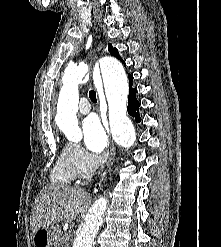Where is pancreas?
I'll return each mask as SVG.
<instances>
[{
  "instance_id": "cf45deb5",
  "label": "pancreas",
  "mask_w": 221,
  "mask_h": 247,
  "mask_svg": "<svg viewBox=\"0 0 221 247\" xmlns=\"http://www.w3.org/2000/svg\"><path fill=\"white\" fill-rule=\"evenodd\" d=\"M53 231V242L54 247H64L67 243L65 236L62 235L61 229L59 227L54 228Z\"/></svg>"
}]
</instances>
